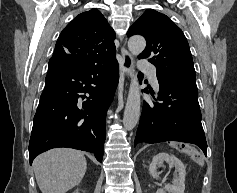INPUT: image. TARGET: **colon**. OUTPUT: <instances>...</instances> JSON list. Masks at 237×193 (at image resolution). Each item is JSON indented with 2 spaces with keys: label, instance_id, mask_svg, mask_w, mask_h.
Returning <instances> with one entry per match:
<instances>
[{
  "label": "colon",
  "instance_id": "obj_1",
  "mask_svg": "<svg viewBox=\"0 0 237 193\" xmlns=\"http://www.w3.org/2000/svg\"><path fill=\"white\" fill-rule=\"evenodd\" d=\"M185 152L190 155V157L192 158V160L194 162H196L197 164H202L203 162V156L200 152L196 151V150H189L186 149Z\"/></svg>",
  "mask_w": 237,
  "mask_h": 193
}]
</instances>
